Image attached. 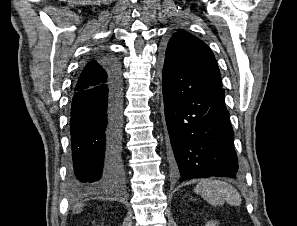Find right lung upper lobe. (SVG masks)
Wrapping results in <instances>:
<instances>
[{
	"label": "right lung upper lobe",
	"instance_id": "right-lung-upper-lobe-1",
	"mask_svg": "<svg viewBox=\"0 0 297 226\" xmlns=\"http://www.w3.org/2000/svg\"><path fill=\"white\" fill-rule=\"evenodd\" d=\"M104 59L107 58L101 57L87 63L77 80L74 91L87 89L106 81L107 72L103 64Z\"/></svg>",
	"mask_w": 297,
	"mask_h": 226
}]
</instances>
